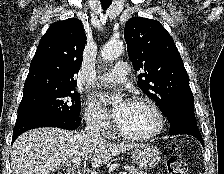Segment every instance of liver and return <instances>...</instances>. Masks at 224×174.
I'll return each mask as SVG.
<instances>
[{"label": "liver", "instance_id": "1", "mask_svg": "<svg viewBox=\"0 0 224 174\" xmlns=\"http://www.w3.org/2000/svg\"><path fill=\"white\" fill-rule=\"evenodd\" d=\"M136 146L107 141L98 143L77 131L38 128L23 133L14 142L11 153L12 174H49L64 165L70 167L74 174L75 158L89 159L92 167L98 168L113 156Z\"/></svg>", "mask_w": 224, "mask_h": 174}]
</instances>
